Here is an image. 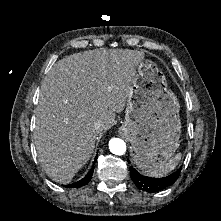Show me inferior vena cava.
I'll list each match as a JSON object with an SVG mask.
<instances>
[{
	"label": "inferior vena cava",
	"mask_w": 221,
	"mask_h": 221,
	"mask_svg": "<svg viewBox=\"0 0 221 221\" xmlns=\"http://www.w3.org/2000/svg\"><path fill=\"white\" fill-rule=\"evenodd\" d=\"M102 127V123L100 121H97L95 124H94V129L96 131L100 130Z\"/></svg>",
	"instance_id": "602c4592"
}]
</instances>
